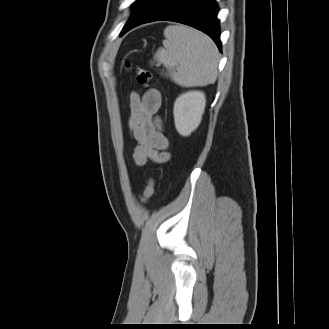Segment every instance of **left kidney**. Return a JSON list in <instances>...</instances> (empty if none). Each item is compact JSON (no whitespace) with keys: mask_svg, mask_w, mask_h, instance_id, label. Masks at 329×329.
I'll return each mask as SVG.
<instances>
[{"mask_svg":"<svg viewBox=\"0 0 329 329\" xmlns=\"http://www.w3.org/2000/svg\"><path fill=\"white\" fill-rule=\"evenodd\" d=\"M206 98L201 91H188L181 94L174 103V123L177 132L189 136L201 123Z\"/></svg>","mask_w":329,"mask_h":329,"instance_id":"obj_1","label":"left kidney"}]
</instances>
